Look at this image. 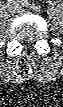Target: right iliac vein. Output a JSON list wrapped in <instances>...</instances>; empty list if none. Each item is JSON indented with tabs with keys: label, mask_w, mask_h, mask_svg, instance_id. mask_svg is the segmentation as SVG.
Returning a JSON list of instances; mask_svg holds the SVG:
<instances>
[{
	"label": "right iliac vein",
	"mask_w": 63,
	"mask_h": 107,
	"mask_svg": "<svg viewBox=\"0 0 63 107\" xmlns=\"http://www.w3.org/2000/svg\"><path fill=\"white\" fill-rule=\"evenodd\" d=\"M16 11V7L11 8V13H14Z\"/></svg>",
	"instance_id": "63e3f726"
}]
</instances>
